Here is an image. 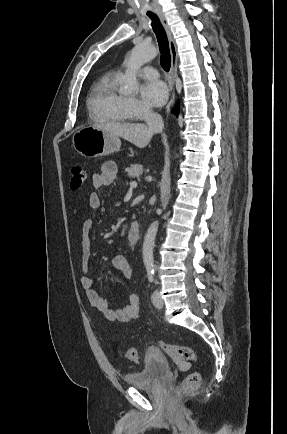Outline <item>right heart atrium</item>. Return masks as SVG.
Wrapping results in <instances>:
<instances>
[{
  "mask_svg": "<svg viewBox=\"0 0 287 434\" xmlns=\"http://www.w3.org/2000/svg\"><path fill=\"white\" fill-rule=\"evenodd\" d=\"M124 105L127 112L134 117L150 113V109L146 104L132 96L124 98Z\"/></svg>",
  "mask_w": 287,
  "mask_h": 434,
  "instance_id": "right-heart-atrium-1",
  "label": "right heart atrium"
}]
</instances>
